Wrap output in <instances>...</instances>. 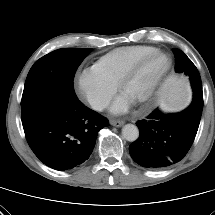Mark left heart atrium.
Returning <instances> with one entry per match:
<instances>
[{
	"label": "left heart atrium",
	"mask_w": 215,
	"mask_h": 215,
	"mask_svg": "<svg viewBox=\"0 0 215 215\" xmlns=\"http://www.w3.org/2000/svg\"><path fill=\"white\" fill-rule=\"evenodd\" d=\"M131 103L129 98L122 94L112 104L111 111L115 114L124 113L129 109Z\"/></svg>",
	"instance_id": "39dd6f15"
}]
</instances>
